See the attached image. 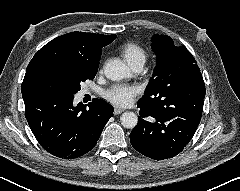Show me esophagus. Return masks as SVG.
<instances>
[{
	"label": "esophagus",
	"mask_w": 240,
	"mask_h": 191,
	"mask_svg": "<svg viewBox=\"0 0 240 191\" xmlns=\"http://www.w3.org/2000/svg\"><path fill=\"white\" fill-rule=\"evenodd\" d=\"M123 111H124V109H122V108H115V109H114V115H119V114H121Z\"/></svg>",
	"instance_id": "obj_1"
}]
</instances>
